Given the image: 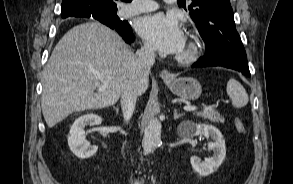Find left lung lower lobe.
Instances as JSON below:
<instances>
[{"mask_svg":"<svg viewBox=\"0 0 293 184\" xmlns=\"http://www.w3.org/2000/svg\"><path fill=\"white\" fill-rule=\"evenodd\" d=\"M206 53L193 67L223 66L250 76L246 52L237 32L220 38L216 50Z\"/></svg>","mask_w":293,"mask_h":184,"instance_id":"obj_1","label":"left lung lower lobe"}]
</instances>
